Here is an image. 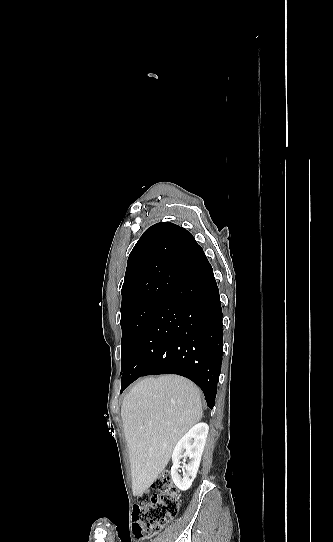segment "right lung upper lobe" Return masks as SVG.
<instances>
[{
  "label": "right lung upper lobe",
  "instance_id": "cb5924a9",
  "mask_svg": "<svg viewBox=\"0 0 333 542\" xmlns=\"http://www.w3.org/2000/svg\"><path fill=\"white\" fill-rule=\"evenodd\" d=\"M178 248L197 253L202 248L186 229L173 223L160 222L148 228L132 249L122 286L121 310L145 298L168 293L186 274L166 265L161 251Z\"/></svg>",
  "mask_w": 333,
  "mask_h": 542
}]
</instances>
